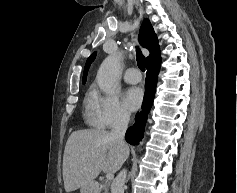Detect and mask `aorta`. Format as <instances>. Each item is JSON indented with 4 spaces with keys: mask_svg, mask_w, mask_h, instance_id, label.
Returning a JSON list of instances; mask_svg holds the SVG:
<instances>
[{
    "mask_svg": "<svg viewBox=\"0 0 237 193\" xmlns=\"http://www.w3.org/2000/svg\"><path fill=\"white\" fill-rule=\"evenodd\" d=\"M120 67V58L118 55H111L108 56L101 64L98 73H97V83L99 87L105 91V92H110L118 71Z\"/></svg>",
    "mask_w": 237,
    "mask_h": 193,
    "instance_id": "1",
    "label": "aorta"
}]
</instances>
